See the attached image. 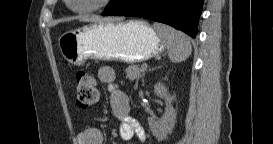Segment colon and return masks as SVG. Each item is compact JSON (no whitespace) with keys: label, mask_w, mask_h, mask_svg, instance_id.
<instances>
[{"label":"colon","mask_w":273,"mask_h":144,"mask_svg":"<svg viewBox=\"0 0 273 144\" xmlns=\"http://www.w3.org/2000/svg\"><path fill=\"white\" fill-rule=\"evenodd\" d=\"M76 104L80 109L90 108L98 98L96 79L87 71L76 72Z\"/></svg>","instance_id":"5ec220e1"}]
</instances>
